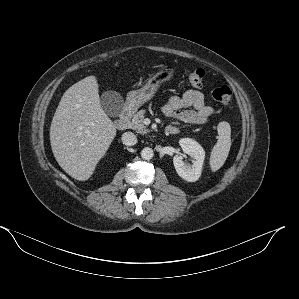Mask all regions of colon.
<instances>
[{"label": "colon", "mask_w": 299, "mask_h": 299, "mask_svg": "<svg viewBox=\"0 0 299 299\" xmlns=\"http://www.w3.org/2000/svg\"><path fill=\"white\" fill-rule=\"evenodd\" d=\"M205 71L201 68L193 69L186 73V80L192 86H201L204 80ZM213 98L226 106H231L233 104V93L230 87L220 86L213 90Z\"/></svg>", "instance_id": "5ec220e1"}]
</instances>
